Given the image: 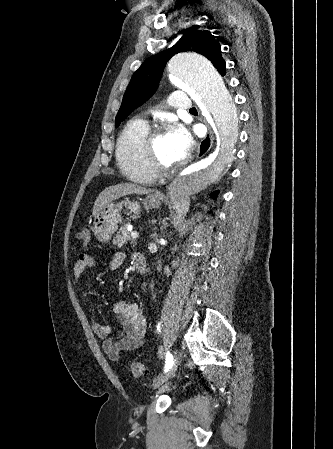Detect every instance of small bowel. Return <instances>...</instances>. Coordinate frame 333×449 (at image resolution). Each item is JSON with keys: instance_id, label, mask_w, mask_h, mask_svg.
I'll use <instances>...</instances> for the list:
<instances>
[{"instance_id": "1", "label": "small bowel", "mask_w": 333, "mask_h": 449, "mask_svg": "<svg viewBox=\"0 0 333 449\" xmlns=\"http://www.w3.org/2000/svg\"><path fill=\"white\" fill-rule=\"evenodd\" d=\"M124 260L121 253L115 254L111 268L118 269ZM94 261L87 255H80L71 270V279L80 287L81 279L87 269L94 268ZM113 312L123 323V330L118 337L111 336V327L104 323H94L93 332L102 340V349L112 360H118L123 352L140 347L147 331L148 320L145 313L136 304L123 300L113 304Z\"/></svg>"}]
</instances>
